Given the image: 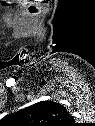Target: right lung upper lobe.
I'll list each match as a JSON object with an SVG mask.
<instances>
[{
    "mask_svg": "<svg viewBox=\"0 0 95 126\" xmlns=\"http://www.w3.org/2000/svg\"><path fill=\"white\" fill-rule=\"evenodd\" d=\"M15 126H72V116L66 108L53 101H41L6 116Z\"/></svg>",
    "mask_w": 95,
    "mask_h": 126,
    "instance_id": "cb5924a9",
    "label": "right lung upper lobe"
}]
</instances>
